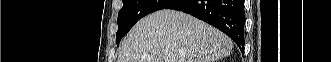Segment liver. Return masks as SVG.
Instances as JSON below:
<instances>
[{"label":"liver","mask_w":331,"mask_h":62,"mask_svg":"<svg viewBox=\"0 0 331 62\" xmlns=\"http://www.w3.org/2000/svg\"><path fill=\"white\" fill-rule=\"evenodd\" d=\"M232 40L183 12L160 10L137 22L125 38L117 62H215L230 55Z\"/></svg>","instance_id":"liver-1"}]
</instances>
